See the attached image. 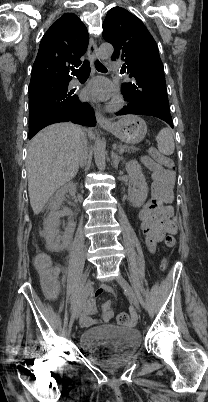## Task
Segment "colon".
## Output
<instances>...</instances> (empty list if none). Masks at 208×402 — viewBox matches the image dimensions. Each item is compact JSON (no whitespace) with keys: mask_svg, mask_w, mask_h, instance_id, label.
<instances>
[{"mask_svg":"<svg viewBox=\"0 0 208 402\" xmlns=\"http://www.w3.org/2000/svg\"><path fill=\"white\" fill-rule=\"evenodd\" d=\"M150 155L157 162L164 164L169 170H173L175 167V163L168 157L162 155L159 151L154 148H150ZM165 244L168 248L172 249L176 245V238L173 235H169L166 237ZM35 263L40 270L41 276L44 277L43 283L45 286H41L39 292L41 295H50L57 296L59 290L57 287L61 283L59 277H57V268L56 266H52L50 262L49 256H43V252H37V256L35 258ZM167 265V259H164L161 265V269L164 270ZM116 321L120 325H127L129 322L128 314L125 312H120L116 315Z\"/></svg>","mask_w":208,"mask_h":402,"instance_id":"1","label":"colon"}]
</instances>
